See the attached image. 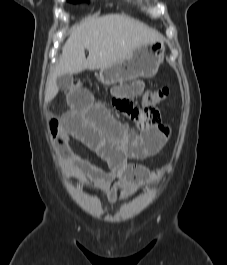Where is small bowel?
<instances>
[{"label":"small bowel","mask_w":227,"mask_h":265,"mask_svg":"<svg viewBox=\"0 0 227 265\" xmlns=\"http://www.w3.org/2000/svg\"><path fill=\"white\" fill-rule=\"evenodd\" d=\"M121 85L126 87L117 91L135 94L142 89L140 81H122ZM68 92L67 104L71 109L61 118L59 143L69 174L107 202L117 199L125 202L151 179L147 168L130 160H145L159 153L170 137L169 128L159 124L142 132L130 131L102 103L93 99L85 87H68ZM112 108H117V112H140L132 99H112ZM70 137L96 153L110 170L72 151L68 145Z\"/></svg>","instance_id":"small-bowel-1"}]
</instances>
